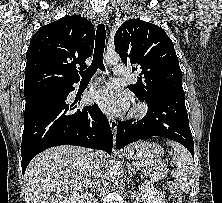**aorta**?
I'll return each instance as SVG.
<instances>
[{
    "label": "aorta",
    "mask_w": 222,
    "mask_h": 203,
    "mask_svg": "<svg viewBox=\"0 0 222 203\" xmlns=\"http://www.w3.org/2000/svg\"><path fill=\"white\" fill-rule=\"evenodd\" d=\"M104 60L109 65H115L119 62L120 57L115 52H107L104 55ZM111 180L115 186H120L123 182V170L121 163L113 158L110 164Z\"/></svg>",
    "instance_id": "1"
}]
</instances>
